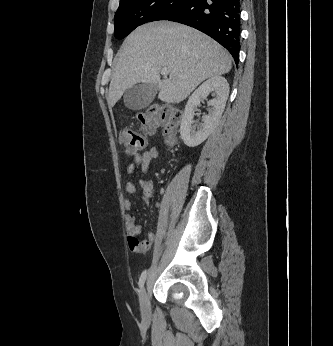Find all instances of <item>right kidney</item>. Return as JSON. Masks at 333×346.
Returning <instances> with one entry per match:
<instances>
[{"label":"right kidney","mask_w":333,"mask_h":346,"mask_svg":"<svg viewBox=\"0 0 333 346\" xmlns=\"http://www.w3.org/2000/svg\"><path fill=\"white\" fill-rule=\"evenodd\" d=\"M210 93H213L215 97L208 101V106H210L208 115L202 117L203 124L196 130L193 126L195 111L200 102ZM228 95L229 84L221 76L208 79L193 92L185 106L180 125V135L185 145L196 147L207 139L221 118Z\"/></svg>","instance_id":"right-kidney-1"}]
</instances>
